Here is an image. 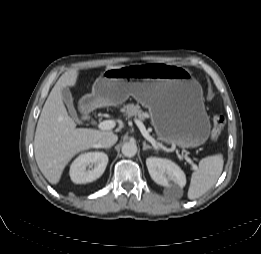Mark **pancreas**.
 Instances as JSON below:
<instances>
[{
  "label": "pancreas",
  "mask_w": 261,
  "mask_h": 254,
  "mask_svg": "<svg viewBox=\"0 0 261 254\" xmlns=\"http://www.w3.org/2000/svg\"><path fill=\"white\" fill-rule=\"evenodd\" d=\"M124 116L130 118V117H138L140 120H144L147 117V113L143 112L139 105L134 104H128L125 105L121 109Z\"/></svg>",
  "instance_id": "obj_1"
}]
</instances>
